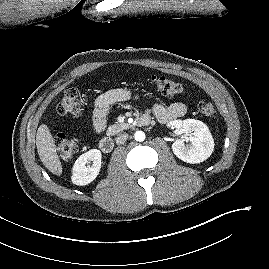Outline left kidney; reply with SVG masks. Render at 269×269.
Instances as JSON below:
<instances>
[{
  "label": "left kidney",
  "mask_w": 269,
  "mask_h": 269,
  "mask_svg": "<svg viewBox=\"0 0 269 269\" xmlns=\"http://www.w3.org/2000/svg\"><path fill=\"white\" fill-rule=\"evenodd\" d=\"M169 126L176 128L182 139H176L172 144L173 153L182 161L196 164L208 159L214 150V140L208 127L195 119L174 120ZM184 138V139H183ZM190 145H185L184 141Z\"/></svg>",
  "instance_id": "obj_1"
}]
</instances>
